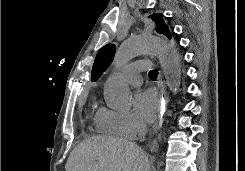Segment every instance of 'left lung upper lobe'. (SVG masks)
<instances>
[{
	"label": "left lung upper lobe",
	"instance_id": "obj_1",
	"mask_svg": "<svg viewBox=\"0 0 245 171\" xmlns=\"http://www.w3.org/2000/svg\"><path fill=\"white\" fill-rule=\"evenodd\" d=\"M155 22V30L159 34H163L169 39L173 37L169 26L164 22V17L162 13H154L152 16ZM116 46L114 44H107L102 47L95 58L93 69L91 72V80L96 82L103 72L110 66L115 55Z\"/></svg>",
	"mask_w": 245,
	"mask_h": 171
}]
</instances>
